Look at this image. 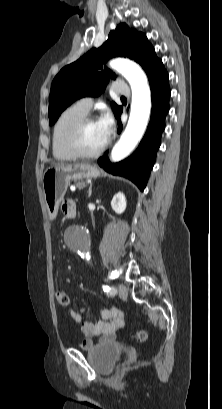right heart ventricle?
Segmentation results:
<instances>
[{
	"instance_id": "1",
	"label": "right heart ventricle",
	"mask_w": 222,
	"mask_h": 409,
	"mask_svg": "<svg viewBox=\"0 0 222 409\" xmlns=\"http://www.w3.org/2000/svg\"><path fill=\"white\" fill-rule=\"evenodd\" d=\"M87 114L75 104L65 109L58 117L52 135V151L57 160L70 161L77 158L69 149L68 138L76 123Z\"/></svg>"
}]
</instances>
